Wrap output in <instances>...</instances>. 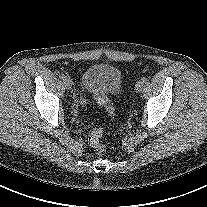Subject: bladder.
Instances as JSON below:
<instances>
[{"label": "bladder", "mask_w": 207, "mask_h": 207, "mask_svg": "<svg viewBox=\"0 0 207 207\" xmlns=\"http://www.w3.org/2000/svg\"><path fill=\"white\" fill-rule=\"evenodd\" d=\"M81 86L89 93L101 92L107 96L119 97L123 91V75L111 64H94L83 73Z\"/></svg>", "instance_id": "obj_1"}]
</instances>
